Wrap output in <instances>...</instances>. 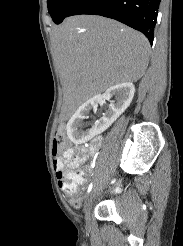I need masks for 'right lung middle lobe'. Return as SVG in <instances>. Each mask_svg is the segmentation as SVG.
<instances>
[{"label":"right lung middle lobe","instance_id":"dd1d6c3e","mask_svg":"<svg viewBox=\"0 0 183 246\" xmlns=\"http://www.w3.org/2000/svg\"><path fill=\"white\" fill-rule=\"evenodd\" d=\"M77 2L78 0H48V12L53 21L59 24Z\"/></svg>","mask_w":183,"mask_h":246}]
</instances>
